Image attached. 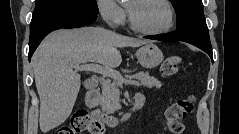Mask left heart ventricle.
<instances>
[{
	"mask_svg": "<svg viewBox=\"0 0 239 134\" xmlns=\"http://www.w3.org/2000/svg\"><path fill=\"white\" fill-rule=\"evenodd\" d=\"M135 23L142 28L156 30L164 27L168 21L166 7L155 0H130L126 3Z\"/></svg>",
	"mask_w": 239,
	"mask_h": 134,
	"instance_id": "left-heart-ventricle-1",
	"label": "left heart ventricle"
}]
</instances>
